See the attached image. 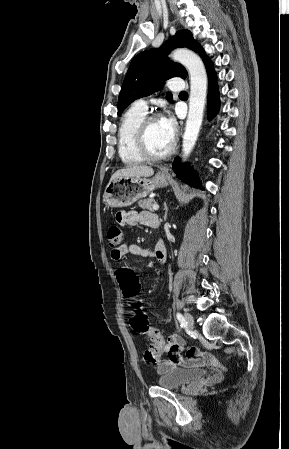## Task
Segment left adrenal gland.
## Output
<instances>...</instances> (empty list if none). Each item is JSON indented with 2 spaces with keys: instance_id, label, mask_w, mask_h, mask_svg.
Wrapping results in <instances>:
<instances>
[{
  "instance_id": "1",
  "label": "left adrenal gland",
  "mask_w": 289,
  "mask_h": 449,
  "mask_svg": "<svg viewBox=\"0 0 289 449\" xmlns=\"http://www.w3.org/2000/svg\"><path fill=\"white\" fill-rule=\"evenodd\" d=\"M164 210H165V213H164V220H166V218H167V212H168V207H167L166 202L164 203Z\"/></svg>"
}]
</instances>
